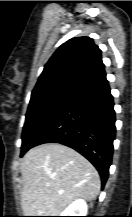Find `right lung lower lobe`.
I'll use <instances>...</instances> for the list:
<instances>
[{"label": "right lung lower lobe", "mask_w": 132, "mask_h": 217, "mask_svg": "<svg viewBox=\"0 0 132 217\" xmlns=\"http://www.w3.org/2000/svg\"><path fill=\"white\" fill-rule=\"evenodd\" d=\"M115 133L114 103L107 83L78 95L31 148L54 142L75 149L96 167L104 186L109 175Z\"/></svg>", "instance_id": "right-lung-lower-lobe-1"}]
</instances>
